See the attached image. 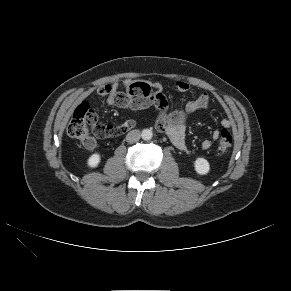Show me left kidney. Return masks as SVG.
I'll use <instances>...</instances> for the list:
<instances>
[{
	"label": "left kidney",
	"instance_id": "left-kidney-1",
	"mask_svg": "<svg viewBox=\"0 0 291 291\" xmlns=\"http://www.w3.org/2000/svg\"><path fill=\"white\" fill-rule=\"evenodd\" d=\"M194 167L199 175H206L210 170L209 162L204 158H197L194 162Z\"/></svg>",
	"mask_w": 291,
	"mask_h": 291
}]
</instances>
